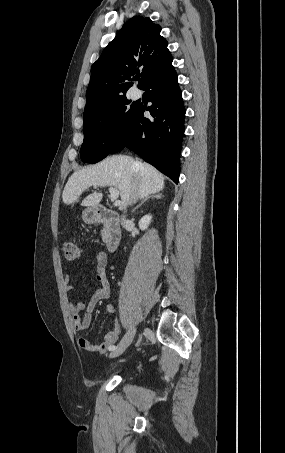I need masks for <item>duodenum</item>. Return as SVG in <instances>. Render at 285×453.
<instances>
[{"mask_svg":"<svg viewBox=\"0 0 285 453\" xmlns=\"http://www.w3.org/2000/svg\"><path fill=\"white\" fill-rule=\"evenodd\" d=\"M92 219L94 222L102 223L105 226L104 244L108 251H115L121 241L119 216L104 206H96L92 212Z\"/></svg>","mask_w":285,"mask_h":453,"instance_id":"1","label":"duodenum"}]
</instances>
